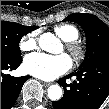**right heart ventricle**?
I'll list each match as a JSON object with an SVG mask.
<instances>
[{"label":"right heart ventricle","mask_w":109,"mask_h":109,"mask_svg":"<svg viewBox=\"0 0 109 109\" xmlns=\"http://www.w3.org/2000/svg\"><path fill=\"white\" fill-rule=\"evenodd\" d=\"M54 32L66 42L75 41L79 37V30L72 24L63 23L56 25Z\"/></svg>","instance_id":"obj_1"}]
</instances>
